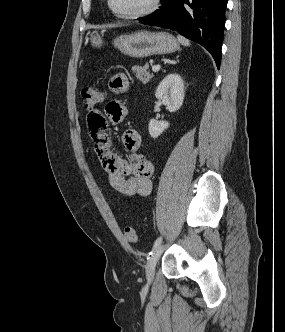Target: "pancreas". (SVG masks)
I'll return each instance as SVG.
<instances>
[{"instance_id":"cf45deb5","label":"pancreas","mask_w":285,"mask_h":332,"mask_svg":"<svg viewBox=\"0 0 285 332\" xmlns=\"http://www.w3.org/2000/svg\"><path fill=\"white\" fill-rule=\"evenodd\" d=\"M148 67H149L148 64H146L144 67L141 66L132 67V72L135 74V77L143 84L148 83L152 78V75L147 71Z\"/></svg>"}]
</instances>
